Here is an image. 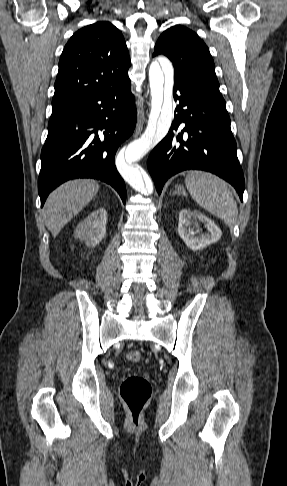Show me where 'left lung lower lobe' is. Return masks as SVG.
<instances>
[{
  "instance_id": "1",
  "label": "left lung lower lobe",
  "mask_w": 287,
  "mask_h": 486,
  "mask_svg": "<svg viewBox=\"0 0 287 486\" xmlns=\"http://www.w3.org/2000/svg\"><path fill=\"white\" fill-rule=\"evenodd\" d=\"M173 92L178 102L174 121L167 136L153 149L147 161L158 194L174 174L198 169L228 181L242 200L244 176L226 108L182 79L174 80ZM181 123H185L184 128Z\"/></svg>"
}]
</instances>
